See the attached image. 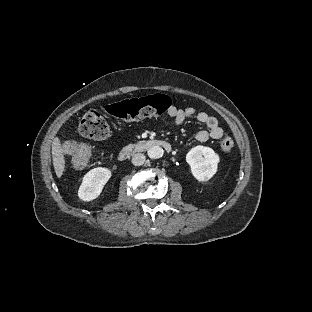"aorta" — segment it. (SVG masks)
I'll list each match as a JSON object with an SVG mask.
<instances>
[{"label": "aorta", "instance_id": "obj_1", "mask_svg": "<svg viewBox=\"0 0 312 312\" xmlns=\"http://www.w3.org/2000/svg\"><path fill=\"white\" fill-rule=\"evenodd\" d=\"M147 155H148V158L151 160L160 158L163 155V149L160 146H151L147 150Z\"/></svg>", "mask_w": 312, "mask_h": 312}]
</instances>
